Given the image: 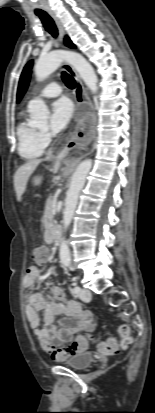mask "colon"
Masks as SVG:
<instances>
[{"label":"colon","mask_w":155,"mask_h":413,"mask_svg":"<svg viewBox=\"0 0 155 413\" xmlns=\"http://www.w3.org/2000/svg\"><path fill=\"white\" fill-rule=\"evenodd\" d=\"M47 257V250L43 247H36L32 251V258L37 263H44L47 260ZM119 332L121 335V347L123 349H128L132 344L129 327L127 325H121ZM83 340L84 338L80 337L67 348L56 346L53 343H47L44 349L50 353L54 359L59 360L60 356L75 351ZM98 349L103 354L115 353L118 349L116 340L114 338H108L105 341L99 342Z\"/></svg>","instance_id":"1"}]
</instances>
